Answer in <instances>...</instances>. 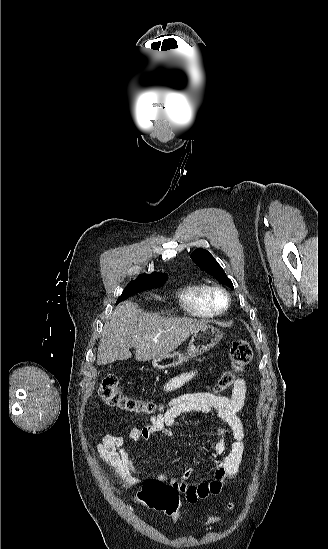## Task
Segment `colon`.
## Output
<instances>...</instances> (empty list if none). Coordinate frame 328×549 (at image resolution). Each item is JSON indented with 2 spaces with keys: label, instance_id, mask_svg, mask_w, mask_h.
I'll list each match as a JSON object with an SVG mask.
<instances>
[{
  "label": "colon",
  "instance_id": "colon-1",
  "mask_svg": "<svg viewBox=\"0 0 328 549\" xmlns=\"http://www.w3.org/2000/svg\"><path fill=\"white\" fill-rule=\"evenodd\" d=\"M228 359L230 368L223 372L216 386V392L227 390L234 382L235 374L238 373L253 356V351L248 342L239 340L228 348ZM99 394L102 400L114 407L134 413L152 414L160 407L149 400H140L122 393L119 381L114 375H107L99 387ZM136 505L162 511L166 513L174 523L181 521L182 515L179 509L180 492L172 483L161 479L146 480L141 490L134 498ZM233 505H230V510ZM217 518L210 519V523L217 522Z\"/></svg>",
  "mask_w": 328,
  "mask_h": 549
}]
</instances>
